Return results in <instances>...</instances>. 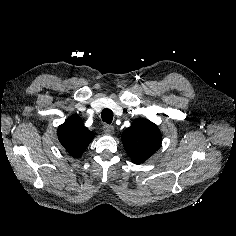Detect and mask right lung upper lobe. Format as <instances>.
Masks as SVG:
<instances>
[{"mask_svg": "<svg viewBox=\"0 0 236 236\" xmlns=\"http://www.w3.org/2000/svg\"><path fill=\"white\" fill-rule=\"evenodd\" d=\"M94 137L83 124L82 119L73 115L58 127V139L66 151L74 158L82 155Z\"/></svg>", "mask_w": 236, "mask_h": 236, "instance_id": "obj_1", "label": "right lung upper lobe"}]
</instances>
